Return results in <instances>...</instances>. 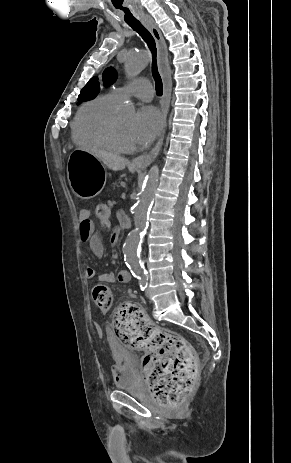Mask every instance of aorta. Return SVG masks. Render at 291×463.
<instances>
[{"instance_id": "aorta-1", "label": "aorta", "mask_w": 291, "mask_h": 463, "mask_svg": "<svg viewBox=\"0 0 291 463\" xmlns=\"http://www.w3.org/2000/svg\"><path fill=\"white\" fill-rule=\"evenodd\" d=\"M149 56L143 51H129L125 58V73L128 78L132 79L138 76L149 64ZM128 112L134 111V106L129 104ZM159 176V168L154 165L142 186L139 199L135 206L134 229L128 234L124 246V260L131 272L136 276H144V269L139 255V248L142 237L147 228V219L151 204L154 199Z\"/></svg>"}]
</instances>
